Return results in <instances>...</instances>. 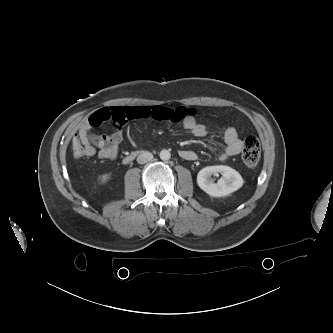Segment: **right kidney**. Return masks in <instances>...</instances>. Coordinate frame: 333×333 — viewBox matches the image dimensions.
I'll list each match as a JSON object with an SVG mask.
<instances>
[{"mask_svg": "<svg viewBox=\"0 0 333 333\" xmlns=\"http://www.w3.org/2000/svg\"><path fill=\"white\" fill-rule=\"evenodd\" d=\"M108 179H109V176H108V175H104V176H102L101 181H102L103 183H105V182L108 181Z\"/></svg>", "mask_w": 333, "mask_h": 333, "instance_id": "obj_1", "label": "right kidney"}]
</instances>
